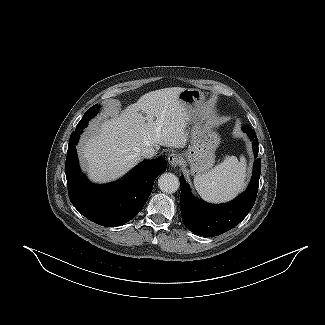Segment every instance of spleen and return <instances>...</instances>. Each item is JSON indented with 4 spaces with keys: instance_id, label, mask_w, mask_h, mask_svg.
Instances as JSON below:
<instances>
[{
    "instance_id": "obj_1",
    "label": "spleen",
    "mask_w": 325,
    "mask_h": 325,
    "mask_svg": "<svg viewBox=\"0 0 325 325\" xmlns=\"http://www.w3.org/2000/svg\"><path fill=\"white\" fill-rule=\"evenodd\" d=\"M246 159L225 156L224 160L208 172L194 177V186L200 196L212 203L226 202L245 187Z\"/></svg>"
}]
</instances>
